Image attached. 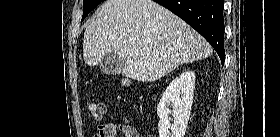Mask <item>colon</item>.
<instances>
[{
	"instance_id": "obj_1",
	"label": "colon",
	"mask_w": 280,
	"mask_h": 137,
	"mask_svg": "<svg viewBox=\"0 0 280 137\" xmlns=\"http://www.w3.org/2000/svg\"><path fill=\"white\" fill-rule=\"evenodd\" d=\"M87 113L95 120L99 121L105 113V105L102 102L92 101L86 105Z\"/></svg>"
}]
</instances>
